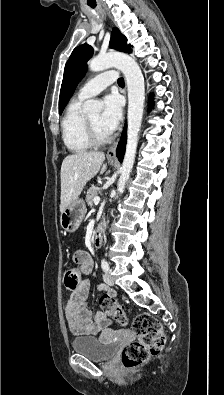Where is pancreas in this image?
Listing matches in <instances>:
<instances>
[{"instance_id": "cf45deb5", "label": "pancreas", "mask_w": 224, "mask_h": 395, "mask_svg": "<svg viewBox=\"0 0 224 395\" xmlns=\"http://www.w3.org/2000/svg\"><path fill=\"white\" fill-rule=\"evenodd\" d=\"M98 196V190L95 187L88 189L86 194V202L89 206H92L94 198Z\"/></svg>"}]
</instances>
